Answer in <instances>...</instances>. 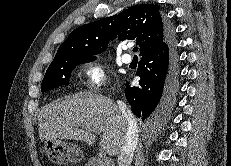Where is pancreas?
I'll use <instances>...</instances> for the list:
<instances>
[{"instance_id": "obj_1", "label": "pancreas", "mask_w": 231, "mask_h": 166, "mask_svg": "<svg viewBox=\"0 0 231 166\" xmlns=\"http://www.w3.org/2000/svg\"><path fill=\"white\" fill-rule=\"evenodd\" d=\"M85 166H108V165L103 163L102 159H100L98 157H92L87 161Z\"/></svg>"}]
</instances>
